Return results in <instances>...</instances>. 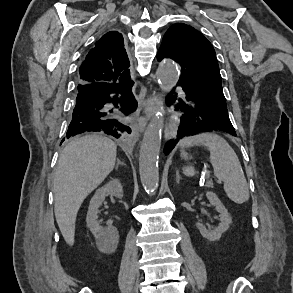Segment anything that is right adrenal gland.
Masks as SVG:
<instances>
[{
    "instance_id": "1",
    "label": "right adrenal gland",
    "mask_w": 293,
    "mask_h": 293,
    "mask_svg": "<svg viewBox=\"0 0 293 293\" xmlns=\"http://www.w3.org/2000/svg\"><path fill=\"white\" fill-rule=\"evenodd\" d=\"M119 165H122V166H123L124 163L121 162L119 159H117V163H116V166H115V169H116V170L118 169Z\"/></svg>"
}]
</instances>
